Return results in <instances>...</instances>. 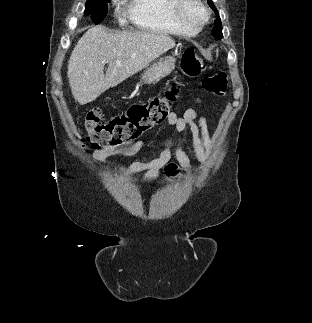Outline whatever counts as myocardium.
<instances>
[{
	"mask_svg": "<svg viewBox=\"0 0 312 323\" xmlns=\"http://www.w3.org/2000/svg\"><path fill=\"white\" fill-rule=\"evenodd\" d=\"M173 8L169 14L182 21L185 31H203V25L212 17V10H207L205 2L201 0H173ZM197 13V14H196Z\"/></svg>",
	"mask_w": 312,
	"mask_h": 323,
	"instance_id": "obj_1",
	"label": "myocardium"
}]
</instances>
